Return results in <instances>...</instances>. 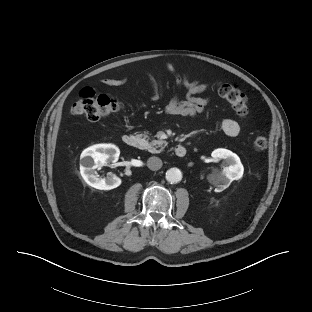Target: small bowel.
I'll list each match as a JSON object with an SVG mask.
<instances>
[{
    "instance_id": "c3829d8e",
    "label": "small bowel",
    "mask_w": 312,
    "mask_h": 312,
    "mask_svg": "<svg viewBox=\"0 0 312 312\" xmlns=\"http://www.w3.org/2000/svg\"><path fill=\"white\" fill-rule=\"evenodd\" d=\"M169 69L171 72H174L172 67H169ZM149 78L153 84V98L158 99L161 95V87L159 82L151 75ZM125 81V78H106L102 80V83L110 86H120L124 84ZM176 82L179 87L183 86L187 89L186 99L181 100L178 95H175L166 105V113L169 115L183 117H195L197 115L203 114L210 103V98L196 97L195 94L205 91L207 87L198 82H189L187 79H181L180 77H177ZM241 127V123L232 118H225L221 123L223 132L230 137L237 136L241 131Z\"/></svg>"
}]
</instances>
